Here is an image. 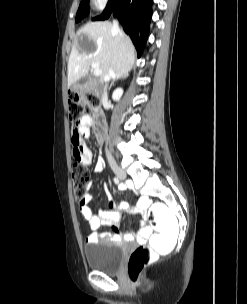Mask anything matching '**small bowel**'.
Listing matches in <instances>:
<instances>
[{"label": "small bowel", "instance_id": "c3829d8e", "mask_svg": "<svg viewBox=\"0 0 247 304\" xmlns=\"http://www.w3.org/2000/svg\"><path fill=\"white\" fill-rule=\"evenodd\" d=\"M93 124V119L89 115L82 117L80 122H74L73 128L76 130H71V156H73V162L75 165H85L89 166L92 163V152L89 147L83 142L84 138H89L91 136V126ZM103 161L99 159L95 165V172L99 173L103 169ZM91 186L88 187V190ZM92 196L90 193H86L82 202H80L79 209L87 221L89 228L93 231H96L101 225H111L113 227V232H102L97 233L93 232L87 237L88 243H93L99 240L100 238H110L112 240L118 241L122 238L121 234L118 231L117 223L119 221V214L116 212H102L100 214H95L92 209L89 207V202L91 201ZM150 200L148 198H143L138 206V209L143 211L147 206H149ZM152 230L149 227H142L137 235L133 233H127L123 236L126 240H134L135 238L138 241L145 242Z\"/></svg>", "mask_w": 247, "mask_h": 304}]
</instances>
